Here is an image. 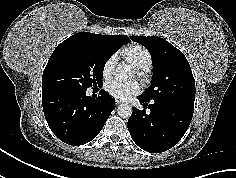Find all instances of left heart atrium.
<instances>
[{
	"label": "left heart atrium",
	"instance_id": "39dd6f15",
	"mask_svg": "<svg viewBox=\"0 0 236 178\" xmlns=\"http://www.w3.org/2000/svg\"><path fill=\"white\" fill-rule=\"evenodd\" d=\"M105 91L117 100H128L140 91L137 81L110 80L105 84Z\"/></svg>",
	"mask_w": 236,
	"mask_h": 178
}]
</instances>
